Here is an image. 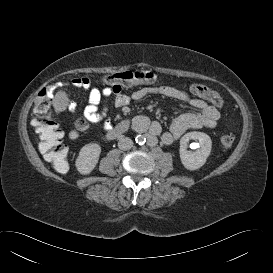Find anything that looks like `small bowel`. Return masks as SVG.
<instances>
[{"label":"small bowel","instance_id":"1","mask_svg":"<svg viewBox=\"0 0 273 273\" xmlns=\"http://www.w3.org/2000/svg\"><path fill=\"white\" fill-rule=\"evenodd\" d=\"M70 84L88 92V103L83 110L84 118L93 124L104 121L107 127L111 125V121L107 118L106 108L102 106V99L104 97L113 96L114 105L119 108L129 104L130 99L140 100L147 96H161L188 102L193 108L198 110V112L184 113L174 119L169 130L164 132L161 136V140L164 144H171L189 129H212L217 125L220 118V112L215 107L209 105L204 100L205 98L198 96L193 92V84L190 86V92L163 85L137 89L131 96L122 93L121 88L109 85L103 88L93 86L91 80L87 77L73 78L70 81ZM191 94L198 96L199 98L192 97ZM68 108L71 111H75L77 109V104L71 102ZM136 120L141 127L146 125V119L144 117L139 116ZM149 133L153 136L159 135L161 133L160 124L156 121L152 122L149 126Z\"/></svg>","mask_w":273,"mask_h":273}]
</instances>
